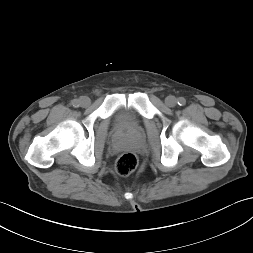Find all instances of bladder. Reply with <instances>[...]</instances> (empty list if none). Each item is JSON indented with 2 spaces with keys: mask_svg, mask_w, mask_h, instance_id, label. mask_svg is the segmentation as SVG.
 I'll return each mask as SVG.
<instances>
[{
  "mask_svg": "<svg viewBox=\"0 0 253 253\" xmlns=\"http://www.w3.org/2000/svg\"><path fill=\"white\" fill-rule=\"evenodd\" d=\"M116 125L120 129L131 130L136 127L137 122L128 111L122 110L116 115Z\"/></svg>",
  "mask_w": 253,
  "mask_h": 253,
  "instance_id": "1",
  "label": "bladder"
}]
</instances>
